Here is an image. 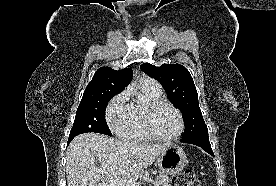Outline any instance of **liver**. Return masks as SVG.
<instances>
[{"instance_id": "liver-1", "label": "liver", "mask_w": 276, "mask_h": 186, "mask_svg": "<svg viewBox=\"0 0 276 186\" xmlns=\"http://www.w3.org/2000/svg\"><path fill=\"white\" fill-rule=\"evenodd\" d=\"M169 145L120 141L98 133L78 135L66 152L67 186L135 182Z\"/></svg>"}]
</instances>
